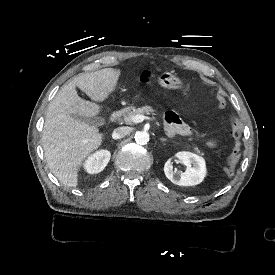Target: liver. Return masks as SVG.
<instances>
[{
    "label": "liver",
    "instance_id": "liver-1",
    "mask_svg": "<svg viewBox=\"0 0 275 275\" xmlns=\"http://www.w3.org/2000/svg\"><path fill=\"white\" fill-rule=\"evenodd\" d=\"M122 70L105 68L75 77L62 87L48 107L42 146L51 172L67 187H77L80 171L98 150L105 134L79 117L97 118L104 103L116 92ZM79 87L92 102L78 96Z\"/></svg>",
    "mask_w": 275,
    "mask_h": 275
}]
</instances>
